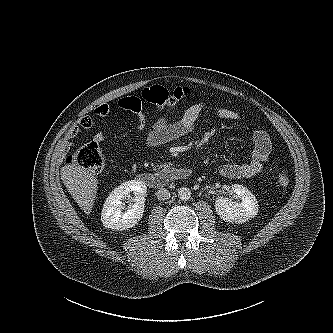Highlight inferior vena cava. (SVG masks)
Listing matches in <instances>:
<instances>
[{
    "instance_id": "602c4592",
    "label": "inferior vena cava",
    "mask_w": 333,
    "mask_h": 333,
    "mask_svg": "<svg viewBox=\"0 0 333 333\" xmlns=\"http://www.w3.org/2000/svg\"><path fill=\"white\" fill-rule=\"evenodd\" d=\"M156 196L159 201H164L170 198V192L165 188H161L156 192Z\"/></svg>"
}]
</instances>
